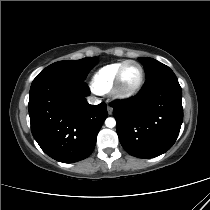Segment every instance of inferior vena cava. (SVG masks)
Segmentation results:
<instances>
[{
  "label": "inferior vena cava",
  "mask_w": 210,
  "mask_h": 210,
  "mask_svg": "<svg viewBox=\"0 0 210 210\" xmlns=\"http://www.w3.org/2000/svg\"><path fill=\"white\" fill-rule=\"evenodd\" d=\"M87 101L89 104H92V105H97L100 103V100H98L96 97L94 96H90L87 98Z\"/></svg>",
  "instance_id": "inferior-vena-cava-1"
}]
</instances>
